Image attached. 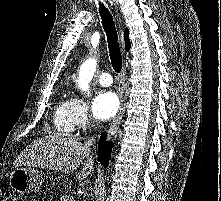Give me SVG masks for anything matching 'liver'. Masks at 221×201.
Wrapping results in <instances>:
<instances>
[{
	"instance_id": "liver-1",
	"label": "liver",
	"mask_w": 221,
	"mask_h": 201,
	"mask_svg": "<svg viewBox=\"0 0 221 201\" xmlns=\"http://www.w3.org/2000/svg\"><path fill=\"white\" fill-rule=\"evenodd\" d=\"M91 149L73 138L49 135L35 140L18 156L14 166L27 165L41 169L71 172L82 163L83 168L76 173V179L82 181L93 170L94 158ZM84 160V163H83Z\"/></svg>"
}]
</instances>
